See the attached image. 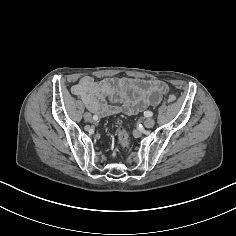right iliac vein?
Returning <instances> with one entry per match:
<instances>
[{
	"label": "right iliac vein",
	"mask_w": 236,
	"mask_h": 236,
	"mask_svg": "<svg viewBox=\"0 0 236 236\" xmlns=\"http://www.w3.org/2000/svg\"><path fill=\"white\" fill-rule=\"evenodd\" d=\"M83 117H84V120L87 122H90L92 120V115L89 112H85Z\"/></svg>",
	"instance_id": "1"
}]
</instances>
